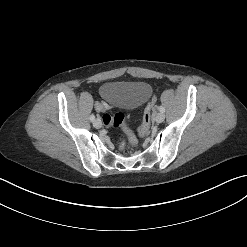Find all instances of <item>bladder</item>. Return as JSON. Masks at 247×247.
Listing matches in <instances>:
<instances>
[{"instance_id": "obj_1", "label": "bladder", "mask_w": 247, "mask_h": 247, "mask_svg": "<svg viewBox=\"0 0 247 247\" xmlns=\"http://www.w3.org/2000/svg\"><path fill=\"white\" fill-rule=\"evenodd\" d=\"M99 91L107 103L123 109H133L150 98L152 89L145 82L107 81L100 86Z\"/></svg>"}]
</instances>
